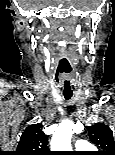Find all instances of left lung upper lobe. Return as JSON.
<instances>
[{"instance_id":"obj_1","label":"left lung upper lobe","mask_w":115,"mask_h":155,"mask_svg":"<svg viewBox=\"0 0 115 155\" xmlns=\"http://www.w3.org/2000/svg\"><path fill=\"white\" fill-rule=\"evenodd\" d=\"M87 129L91 142L102 149L98 155H115V141L109 126L96 123Z\"/></svg>"}]
</instances>
